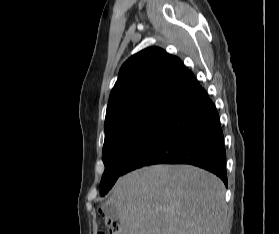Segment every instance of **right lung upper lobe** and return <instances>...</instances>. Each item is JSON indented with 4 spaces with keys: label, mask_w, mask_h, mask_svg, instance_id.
<instances>
[{
    "label": "right lung upper lobe",
    "mask_w": 279,
    "mask_h": 234,
    "mask_svg": "<svg viewBox=\"0 0 279 234\" xmlns=\"http://www.w3.org/2000/svg\"><path fill=\"white\" fill-rule=\"evenodd\" d=\"M196 82L179 58L158 47L144 49L122 65L109 97L105 122L150 105L170 107Z\"/></svg>",
    "instance_id": "cb5924a9"
}]
</instances>
